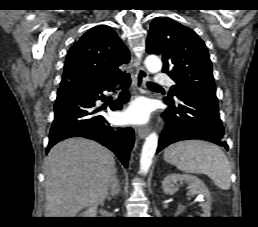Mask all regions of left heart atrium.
<instances>
[{
    "label": "left heart atrium",
    "mask_w": 258,
    "mask_h": 227,
    "mask_svg": "<svg viewBox=\"0 0 258 227\" xmlns=\"http://www.w3.org/2000/svg\"><path fill=\"white\" fill-rule=\"evenodd\" d=\"M148 117V106L144 102H136L120 116V120L124 123L139 124L145 122Z\"/></svg>",
    "instance_id": "39dd6f15"
}]
</instances>
